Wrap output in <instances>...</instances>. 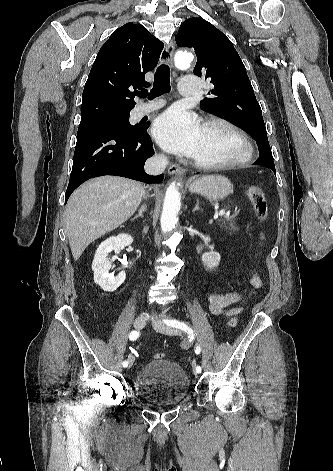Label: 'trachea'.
Instances as JSON below:
<instances>
[{"label":"trachea","instance_id":"trachea-1","mask_svg":"<svg viewBox=\"0 0 333 471\" xmlns=\"http://www.w3.org/2000/svg\"><path fill=\"white\" fill-rule=\"evenodd\" d=\"M170 90V68L166 64H161L154 75V85L148 93L146 89L138 93L139 97L153 100L154 98L167 93Z\"/></svg>","mask_w":333,"mask_h":471}]
</instances>
